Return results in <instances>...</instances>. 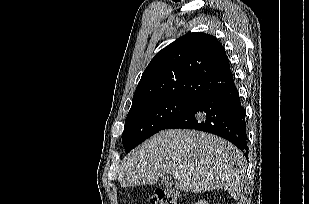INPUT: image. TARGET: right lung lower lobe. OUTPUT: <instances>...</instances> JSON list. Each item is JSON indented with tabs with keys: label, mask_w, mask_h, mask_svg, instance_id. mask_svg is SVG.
<instances>
[{
	"label": "right lung lower lobe",
	"mask_w": 309,
	"mask_h": 204,
	"mask_svg": "<svg viewBox=\"0 0 309 204\" xmlns=\"http://www.w3.org/2000/svg\"><path fill=\"white\" fill-rule=\"evenodd\" d=\"M195 129L218 135L248 158L245 110L234 82L198 100L164 129Z\"/></svg>",
	"instance_id": "1"
}]
</instances>
